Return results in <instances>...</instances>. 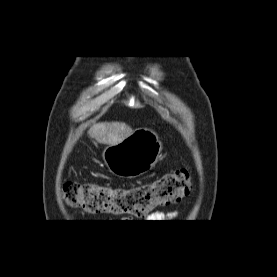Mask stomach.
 Listing matches in <instances>:
<instances>
[{
	"instance_id": "0dacf381",
	"label": "stomach",
	"mask_w": 277,
	"mask_h": 277,
	"mask_svg": "<svg viewBox=\"0 0 277 277\" xmlns=\"http://www.w3.org/2000/svg\"><path fill=\"white\" fill-rule=\"evenodd\" d=\"M162 151L158 134L151 129H138L116 145L107 146L102 154L112 174L135 178L151 170Z\"/></svg>"
}]
</instances>
